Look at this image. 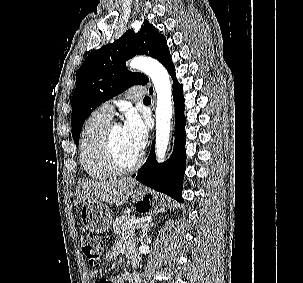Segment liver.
Instances as JSON below:
<instances>
[{"label": "liver", "mask_w": 303, "mask_h": 283, "mask_svg": "<svg viewBox=\"0 0 303 283\" xmlns=\"http://www.w3.org/2000/svg\"><path fill=\"white\" fill-rule=\"evenodd\" d=\"M137 182L131 178L108 181L82 180L76 187L74 205L82 201L106 202L116 206L125 204Z\"/></svg>", "instance_id": "obj_1"}]
</instances>
